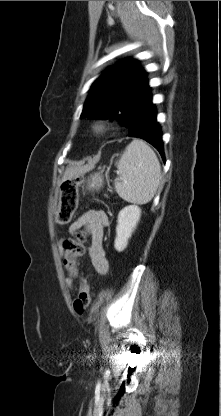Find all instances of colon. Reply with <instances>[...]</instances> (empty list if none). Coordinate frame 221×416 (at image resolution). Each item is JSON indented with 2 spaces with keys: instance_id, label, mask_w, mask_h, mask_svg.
<instances>
[{
  "instance_id": "obj_1",
  "label": "colon",
  "mask_w": 221,
  "mask_h": 416,
  "mask_svg": "<svg viewBox=\"0 0 221 416\" xmlns=\"http://www.w3.org/2000/svg\"><path fill=\"white\" fill-rule=\"evenodd\" d=\"M80 177L66 181L61 188L59 207L55 216V221L59 225L68 224L77 209L78 205V186L81 182ZM83 236L76 233L64 241V249L67 251L66 266L71 275L79 279V291L74 299L73 308L75 312L82 315L90 303V289L87 281L79 277L77 260L84 253L82 244Z\"/></svg>"
}]
</instances>
